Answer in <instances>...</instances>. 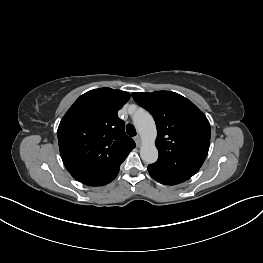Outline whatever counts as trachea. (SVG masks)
<instances>
[{"instance_id":"1","label":"trachea","mask_w":263,"mask_h":263,"mask_svg":"<svg viewBox=\"0 0 263 263\" xmlns=\"http://www.w3.org/2000/svg\"><path fill=\"white\" fill-rule=\"evenodd\" d=\"M126 133H127L129 136H131V137L135 136V135H136V129H135V127H134L132 124H128V125L126 126Z\"/></svg>"}]
</instances>
